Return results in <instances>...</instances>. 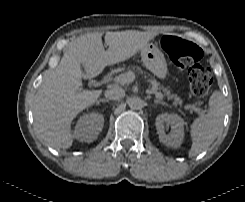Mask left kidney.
I'll return each instance as SVG.
<instances>
[{"mask_svg": "<svg viewBox=\"0 0 245 202\" xmlns=\"http://www.w3.org/2000/svg\"><path fill=\"white\" fill-rule=\"evenodd\" d=\"M159 140L167 147L178 148L184 139V125L183 118L177 114H160L155 121ZM165 125H170L171 133L166 134Z\"/></svg>", "mask_w": 245, "mask_h": 202, "instance_id": "5707ae66", "label": "left kidney"}]
</instances>
